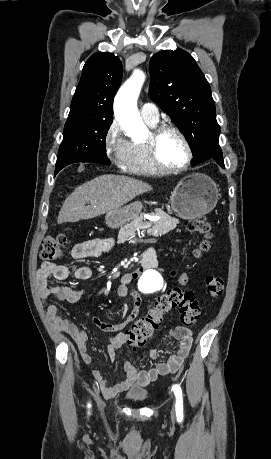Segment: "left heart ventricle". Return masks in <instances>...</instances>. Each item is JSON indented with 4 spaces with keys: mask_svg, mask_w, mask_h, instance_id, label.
<instances>
[{
    "mask_svg": "<svg viewBox=\"0 0 271 459\" xmlns=\"http://www.w3.org/2000/svg\"><path fill=\"white\" fill-rule=\"evenodd\" d=\"M159 152L162 160L168 165L182 164L188 155L183 139L175 132H167L162 136Z\"/></svg>",
    "mask_w": 271,
    "mask_h": 459,
    "instance_id": "obj_1",
    "label": "left heart ventricle"
}]
</instances>
